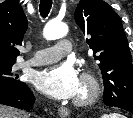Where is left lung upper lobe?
<instances>
[{"label":"left lung upper lobe","mask_w":133,"mask_h":118,"mask_svg":"<svg viewBox=\"0 0 133 118\" xmlns=\"http://www.w3.org/2000/svg\"><path fill=\"white\" fill-rule=\"evenodd\" d=\"M75 21L99 61L104 103L133 113V65L119 16L103 0H80Z\"/></svg>","instance_id":"1"}]
</instances>
